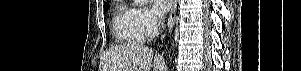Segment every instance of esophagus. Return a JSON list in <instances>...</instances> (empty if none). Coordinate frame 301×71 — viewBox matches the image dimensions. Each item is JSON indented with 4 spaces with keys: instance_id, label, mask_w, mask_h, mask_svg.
<instances>
[{
    "instance_id": "esophagus-1",
    "label": "esophagus",
    "mask_w": 301,
    "mask_h": 71,
    "mask_svg": "<svg viewBox=\"0 0 301 71\" xmlns=\"http://www.w3.org/2000/svg\"><path fill=\"white\" fill-rule=\"evenodd\" d=\"M178 0L173 1L172 9L168 19V30L169 32L172 30L174 23H175V15H176V8H177Z\"/></svg>"
}]
</instances>
